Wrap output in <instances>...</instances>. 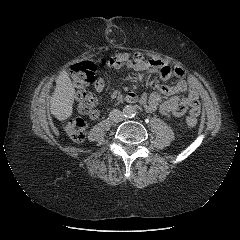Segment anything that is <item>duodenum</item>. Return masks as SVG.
<instances>
[{
	"label": "duodenum",
	"mask_w": 240,
	"mask_h": 240,
	"mask_svg": "<svg viewBox=\"0 0 240 240\" xmlns=\"http://www.w3.org/2000/svg\"><path fill=\"white\" fill-rule=\"evenodd\" d=\"M125 100L128 102H136L138 101V97L135 94H129L125 97Z\"/></svg>",
	"instance_id": "obj_1"
}]
</instances>
